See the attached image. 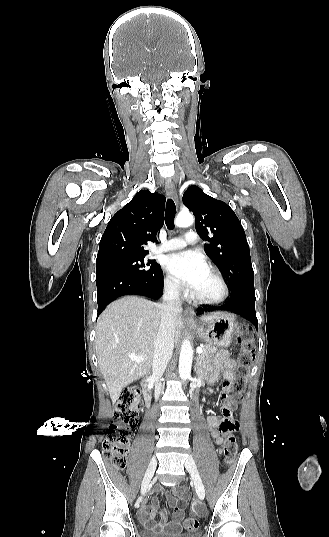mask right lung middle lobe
Listing matches in <instances>:
<instances>
[{
    "label": "right lung middle lobe",
    "instance_id": "obj_1",
    "mask_svg": "<svg viewBox=\"0 0 329 537\" xmlns=\"http://www.w3.org/2000/svg\"><path fill=\"white\" fill-rule=\"evenodd\" d=\"M160 266L155 260L144 261V257L108 261L96 265V273L100 271H117L142 277H152L158 273Z\"/></svg>",
    "mask_w": 329,
    "mask_h": 537
}]
</instances>
